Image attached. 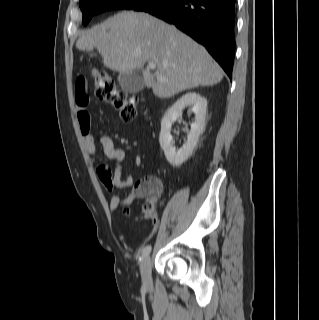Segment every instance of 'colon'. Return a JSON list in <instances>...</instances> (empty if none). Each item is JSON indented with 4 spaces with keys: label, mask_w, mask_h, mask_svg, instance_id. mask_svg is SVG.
I'll return each mask as SVG.
<instances>
[{
    "label": "colon",
    "mask_w": 319,
    "mask_h": 320,
    "mask_svg": "<svg viewBox=\"0 0 319 320\" xmlns=\"http://www.w3.org/2000/svg\"><path fill=\"white\" fill-rule=\"evenodd\" d=\"M93 80L95 84V93L98 98L118 109L123 121L133 122L136 120V105L138 103L136 98H129L125 92L119 90L111 75L105 71H94ZM84 82L85 80L83 77L77 79L78 86L84 84ZM98 171L100 172V178L102 180L108 176V171L104 167H99ZM159 189L160 186L158 182L151 177L139 181L135 186L138 195L155 193ZM154 209L153 202H148L144 205V212L148 218L155 219Z\"/></svg>",
    "instance_id": "colon-1"
}]
</instances>
